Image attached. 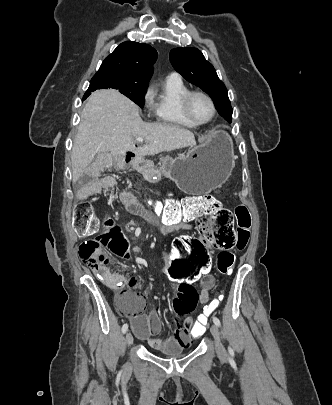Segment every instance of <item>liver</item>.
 <instances>
[{
    "instance_id": "obj_1",
    "label": "liver",
    "mask_w": 332,
    "mask_h": 405,
    "mask_svg": "<svg viewBox=\"0 0 332 405\" xmlns=\"http://www.w3.org/2000/svg\"><path fill=\"white\" fill-rule=\"evenodd\" d=\"M138 137L146 143L136 148L134 138ZM195 145V136L189 130L168 123H145L139 108L118 91L98 90L91 94L81 114L71 153L73 182L96 154L102 153L111 167L114 157L124 156L129 150L144 157Z\"/></svg>"
}]
</instances>
